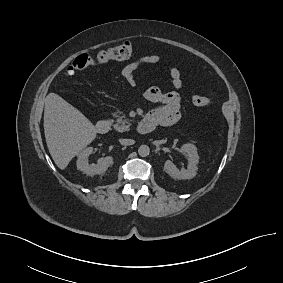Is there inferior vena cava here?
Masks as SVG:
<instances>
[{"label": "inferior vena cava", "mask_w": 283, "mask_h": 283, "mask_svg": "<svg viewBox=\"0 0 283 283\" xmlns=\"http://www.w3.org/2000/svg\"><path fill=\"white\" fill-rule=\"evenodd\" d=\"M119 142L125 146L133 145L135 143L133 139H120Z\"/></svg>", "instance_id": "1"}]
</instances>
